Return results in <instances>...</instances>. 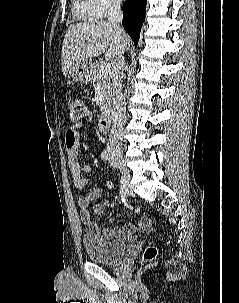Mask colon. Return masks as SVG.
Masks as SVG:
<instances>
[{
    "label": "colon",
    "instance_id": "colon-1",
    "mask_svg": "<svg viewBox=\"0 0 239 303\" xmlns=\"http://www.w3.org/2000/svg\"><path fill=\"white\" fill-rule=\"evenodd\" d=\"M89 114V108L86 102L79 97H71L68 100V119L70 122H78ZM137 213L140 211L137 210ZM157 251L155 247L149 245L145 248L142 256L143 262H151L155 259Z\"/></svg>",
    "mask_w": 239,
    "mask_h": 303
}]
</instances>
